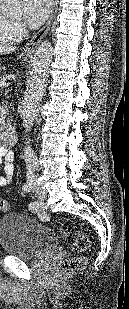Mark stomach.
<instances>
[{"label": "stomach", "instance_id": "1", "mask_svg": "<svg viewBox=\"0 0 129 309\" xmlns=\"http://www.w3.org/2000/svg\"><path fill=\"white\" fill-rule=\"evenodd\" d=\"M22 59H23L24 61H26V60H28V57H22ZM0 63H1V59H0Z\"/></svg>", "mask_w": 129, "mask_h": 309}]
</instances>
